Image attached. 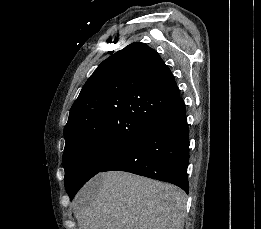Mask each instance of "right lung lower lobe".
<instances>
[{
	"label": "right lung lower lobe",
	"instance_id": "obj_1",
	"mask_svg": "<svg viewBox=\"0 0 261 229\" xmlns=\"http://www.w3.org/2000/svg\"><path fill=\"white\" fill-rule=\"evenodd\" d=\"M189 161V130L185 105L178 100L104 171H126L174 184L186 193Z\"/></svg>",
	"mask_w": 261,
	"mask_h": 229
}]
</instances>
